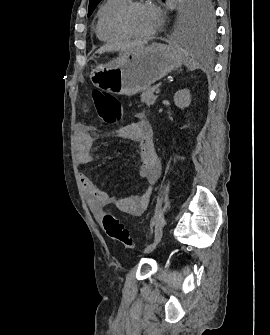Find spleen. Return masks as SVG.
<instances>
[{
	"mask_svg": "<svg viewBox=\"0 0 270 335\" xmlns=\"http://www.w3.org/2000/svg\"><path fill=\"white\" fill-rule=\"evenodd\" d=\"M189 56H190V52H188V50H185L184 52L185 64L186 66H189V68H192V70H194V68H197L198 64L196 60H190Z\"/></svg>",
	"mask_w": 270,
	"mask_h": 335,
	"instance_id": "spleen-1",
	"label": "spleen"
}]
</instances>
